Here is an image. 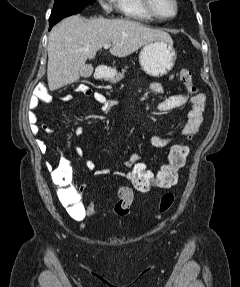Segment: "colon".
<instances>
[{
	"instance_id": "1",
	"label": "colon",
	"mask_w": 240,
	"mask_h": 287,
	"mask_svg": "<svg viewBox=\"0 0 240 287\" xmlns=\"http://www.w3.org/2000/svg\"><path fill=\"white\" fill-rule=\"evenodd\" d=\"M180 80L190 94H195L197 88L193 82L191 73L183 69L180 72ZM37 95L45 99L46 95L42 89H39ZM189 154L187 144L173 145L168 153L167 161L158 169L154 170L143 160L134 163L128 170L127 180L132 183L138 191H147L150 188H169L175 185L179 180V171L184 166ZM71 167L68 161L61 159L58 165L51 173L53 181L63 186L62 192L68 189H74L70 186ZM83 187L81 186L80 189ZM118 199L114 204V212L119 217H125L130 212L133 202V191L128 186H121L118 189ZM175 197L172 193H166L162 196L159 203V211L167 212L174 204ZM87 216H92L95 212V200L90 198L85 203Z\"/></svg>"
}]
</instances>
